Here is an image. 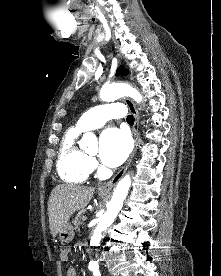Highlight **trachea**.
Here are the masks:
<instances>
[{"label": "trachea", "mask_w": 221, "mask_h": 276, "mask_svg": "<svg viewBox=\"0 0 221 276\" xmlns=\"http://www.w3.org/2000/svg\"><path fill=\"white\" fill-rule=\"evenodd\" d=\"M127 122H128L129 124H133V123H134V117H133L132 115H128V117H127Z\"/></svg>", "instance_id": "1"}]
</instances>
